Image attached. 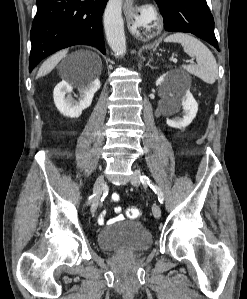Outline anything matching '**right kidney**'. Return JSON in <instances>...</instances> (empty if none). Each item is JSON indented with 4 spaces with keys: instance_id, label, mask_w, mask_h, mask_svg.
<instances>
[{
    "instance_id": "right-kidney-1",
    "label": "right kidney",
    "mask_w": 247,
    "mask_h": 299,
    "mask_svg": "<svg viewBox=\"0 0 247 299\" xmlns=\"http://www.w3.org/2000/svg\"><path fill=\"white\" fill-rule=\"evenodd\" d=\"M101 84L99 78H95L87 85H79V101H75L71 96L73 86L67 81H61L53 91L54 103L61 114L71 118H77L82 111L88 108L93 100L94 94L99 90Z\"/></svg>"
}]
</instances>
